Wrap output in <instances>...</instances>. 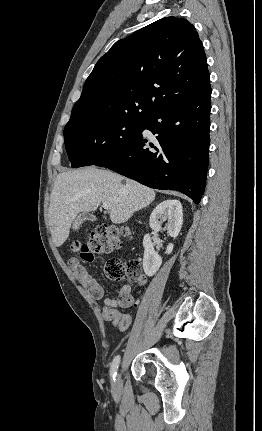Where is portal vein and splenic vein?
I'll return each mask as SVG.
<instances>
[{
  "label": "portal vein and splenic vein",
  "instance_id": "18ae733b",
  "mask_svg": "<svg viewBox=\"0 0 262 431\" xmlns=\"http://www.w3.org/2000/svg\"><path fill=\"white\" fill-rule=\"evenodd\" d=\"M102 206L105 210H110L111 209V204L109 202H103Z\"/></svg>",
  "mask_w": 262,
  "mask_h": 431
}]
</instances>
